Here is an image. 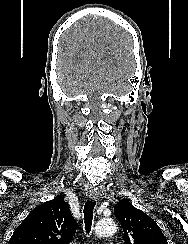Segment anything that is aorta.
I'll return each mask as SVG.
<instances>
[{"label": "aorta", "mask_w": 188, "mask_h": 244, "mask_svg": "<svg viewBox=\"0 0 188 244\" xmlns=\"http://www.w3.org/2000/svg\"><path fill=\"white\" fill-rule=\"evenodd\" d=\"M117 226L113 219L106 218L100 220L95 226V232L99 236H112L116 233Z\"/></svg>", "instance_id": "762f6f07"}]
</instances>
